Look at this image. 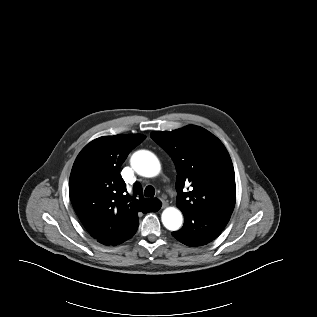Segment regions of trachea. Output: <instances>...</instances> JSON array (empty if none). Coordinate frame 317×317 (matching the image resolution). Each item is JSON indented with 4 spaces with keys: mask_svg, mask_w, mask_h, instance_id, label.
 Segmentation results:
<instances>
[{
    "mask_svg": "<svg viewBox=\"0 0 317 317\" xmlns=\"http://www.w3.org/2000/svg\"><path fill=\"white\" fill-rule=\"evenodd\" d=\"M146 197H154L155 189L152 186H147L144 191Z\"/></svg>",
    "mask_w": 317,
    "mask_h": 317,
    "instance_id": "3493384b",
    "label": "trachea"
}]
</instances>
